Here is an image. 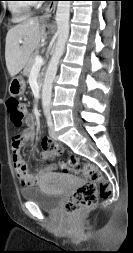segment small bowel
I'll use <instances>...</instances> for the list:
<instances>
[{
	"instance_id": "c3829d8e",
	"label": "small bowel",
	"mask_w": 133,
	"mask_h": 253,
	"mask_svg": "<svg viewBox=\"0 0 133 253\" xmlns=\"http://www.w3.org/2000/svg\"><path fill=\"white\" fill-rule=\"evenodd\" d=\"M36 137V132L33 126V121L29 117L27 119V128L22 133L15 136L12 139V152H13V164L16 173V177L22 186H33L41 181L44 173L55 169L54 165H49L45 168H39L35 173L28 172L27 162L22 157L20 150L22 146L31 143ZM43 160H48L49 152L44 149L41 154Z\"/></svg>"
}]
</instances>
